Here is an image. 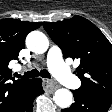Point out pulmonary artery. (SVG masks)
Listing matches in <instances>:
<instances>
[{"mask_svg":"<svg viewBox=\"0 0 112 112\" xmlns=\"http://www.w3.org/2000/svg\"><path fill=\"white\" fill-rule=\"evenodd\" d=\"M47 66L50 72L64 85L71 89L80 87L79 79L64 64L61 49L52 45L47 53Z\"/></svg>","mask_w":112,"mask_h":112,"instance_id":"pulmonary-artery-1","label":"pulmonary artery"}]
</instances>
